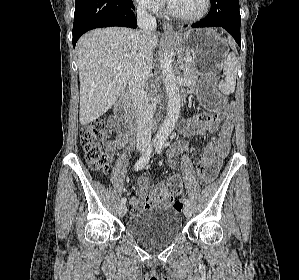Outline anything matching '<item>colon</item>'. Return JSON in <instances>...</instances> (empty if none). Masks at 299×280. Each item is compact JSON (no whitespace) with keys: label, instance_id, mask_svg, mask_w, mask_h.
<instances>
[{"label":"colon","instance_id":"colon-1","mask_svg":"<svg viewBox=\"0 0 299 280\" xmlns=\"http://www.w3.org/2000/svg\"><path fill=\"white\" fill-rule=\"evenodd\" d=\"M223 119V114L219 111L208 112L200 114L196 117L199 122L213 121L220 122ZM107 132L105 126L100 121H94L82 127L80 131V142L85 153L86 161L89 167L98 173L105 174L108 172L110 167L111 158L104 152L101 145L102 141L106 138ZM197 172L199 176L204 180L208 181L209 169L208 164L204 160H200L197 164ZM174 209L181 211L183 208V202L177 200L173 204ZM138 210H133V214H138Z\"/></svg>","mask_w":299,"mask_h":280}]
</instances>
